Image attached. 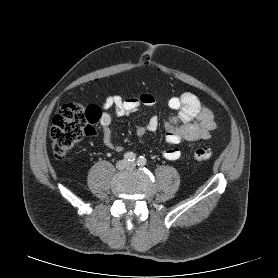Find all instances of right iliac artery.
Segmentation results:
<instances>
[{
    "label": "right iliac artery",
    "instance_id": "obj_1",
    "mask_svg": "<svg viewBox=\"0 0 278 278\" xmlns=\"http://www.w3.org/2000/svg\"><path fill=\"white\" fill-rule=\"evenodd\" d=\"M136 158V154L133 153V152H127L125 155H124V159L128 162H133Z\"/></svg>",
    "mask_w": 278,
    "mask_h": 278
}]
</instances>
